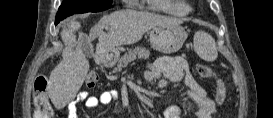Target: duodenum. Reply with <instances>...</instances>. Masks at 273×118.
Segmentation results:
<instances>
[{"mask_svg": "<svg viewBox=\"0 0 273 118\" xmlns=\"http://www.w3.org/2000/svg\"><path fill=\"white\" fill-rule=\"evenodd\" d=\"M107 61H108V54L105 51H103L102 53L96 56V62L98 64L102 65V64H105Z\"/></svg>", "mask_w": 273, "mask_h": 118, "instance_id": "obj_1", "label": "duodenum"}]
</instances>
